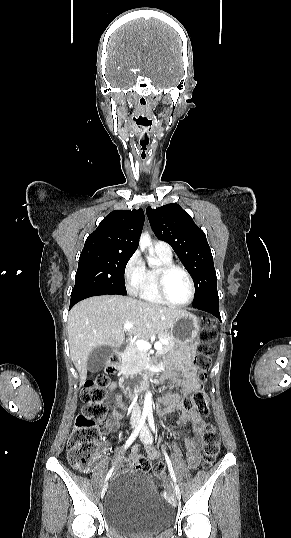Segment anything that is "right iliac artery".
I'll return each mask as SVG.
<instances>
[{"label": "right iliac artery", "instance_id": "82829eb1", "mask_svg": "<svg viewBox=\"0 0 291 538\" xmlns=\"http://www.w3.org/2000/svg\"><path fill=\"white\" fill-rule=\"evenodd\" d=\"M146 417H147V414L143 413L142 416H141V419L139 421L138 426L135 428L133 433L130 435V437L126 441V444L124 445L123 451H125L133 443V441L136 439V437L138 436L140 430L142 429L143 425L145 424ZM113 469H114V467H112V469L108 472V474L106 475L105 481H107L110 478V476H111V474L113 472Z\"/></svg>", "mask_w": 291, "mask_h": 538}]
</instances>
